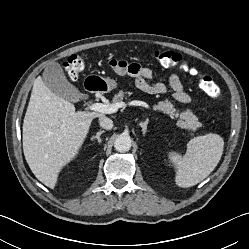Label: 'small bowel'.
<instances>
[{"mask_svg": "<svg viewBox=\"0 0 249 249\" xmlns=\"http://www.w3.org/2000/svg\"><path fill=\"white\" fill-rule=\"evenodd\" d=\"M120 74H128L135 80V85L143 92L159 95L166 92V86L163 83H150L153 79V72L150 68L138 64L127 63L125 71H117ZM169 84L172 89L174 99L180 103L187 104L191 101V96L184 90L180 77L177 74H171Z\"/></svg>", "mask_w": 249, "mask_h": 249, "instance_id": "obj_1", "label": "small bowel"}]
</instances>
